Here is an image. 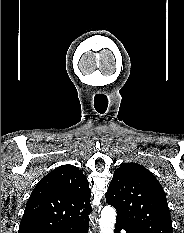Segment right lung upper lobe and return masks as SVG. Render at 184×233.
Returning <instances> with one entry per match:
<instances>
[{"instance_id": "cb5924a9", "label": "right lung upper lobe", "mask_w": 184, "mask_h": 233, "mask_svg": "<svg viewBox=\"0 0 184 233\" xmlns=\"http://www.w3.org/2000/svg\"><path fill=\"white\" fill-rule=\"evenodd\" d=\"M91 190L78 167L62 165L44 176L32 191L18 233H43L88 218Z\"/></svg>"}]
</instances>
